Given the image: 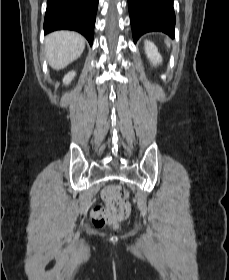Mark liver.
<instances>
[{"instance_id":"obj_1","label":"liver","mask_w":229,"mask_h":280,"mask_svg":"<svg viewBox=\"0 0 229 280\" xmlns=\"http://www.w3.org/2000/svg\"><path fill=\"white\" fill-rule=\"evenodd\" d=\"M46 57L49 65L60 70L80 57L85 49V39L72 31H57L45 39Z\"/></svg>"}]
</instances>
